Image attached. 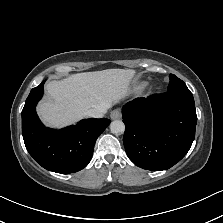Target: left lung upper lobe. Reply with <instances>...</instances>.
<instances>
[{"mask_svg": "<svg viewBox=\"0 0 223 223\" xmlns=\"http://www.w3.org/2000/svg\"><path fill=\"white\" fill-rule=\"evenodd\" d=\"M170 82L167 92L191 94L185 83L174 74L169 75Z\"/></svg>", "mask_w": 223, "mask_h": 223, "instance_id": "1", "label": "left lung upper lobe"}]
</instances>
